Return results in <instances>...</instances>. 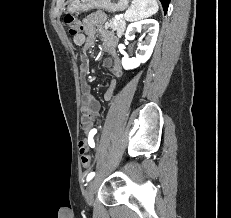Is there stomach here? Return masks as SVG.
I'll return each mask as SVG.
<instances>
[{"mask_svg": "<svg viewBox=\"0 0 231 218\" xmlns=\"http://www.w3.org/2000/svg\"><path fill=\"white\" fill-rule=\"evenodd\" d=\"M128 3L129 0H69L67 11L77 13L91 9H103L115 13L125 10Z\"/></svg>", "mask_w": 231, "mask_h": 218, "instance_id": "1", "label": "stomach"}]
</instances>
